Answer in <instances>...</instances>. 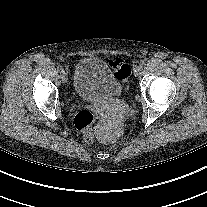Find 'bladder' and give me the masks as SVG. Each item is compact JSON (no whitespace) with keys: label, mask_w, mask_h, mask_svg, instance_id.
Instances as JSON below:
<instances>
[{"label":"bladder","mask_w":207,"mask_h":207,"mask_svg":"<svg viewBox=\"0 0 207 207\" xmlns=\"http://www.w3.org/2000/svg\"><path fill=\"white\" fill-rule=\"evenodd\" d=\"M121 82L113 69L102 59L85 57L74 69L73 89L82 99L105 101L117 98Z\"/></svg>","instance_id":"31cf9c89"}]
</instances>
